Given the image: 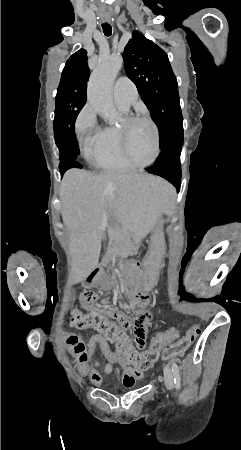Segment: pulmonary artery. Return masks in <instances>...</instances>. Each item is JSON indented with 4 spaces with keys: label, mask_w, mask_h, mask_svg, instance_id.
I'll return each instance as SVG.
<instances>
[{
    "label": "pulmonary artery",
    "mask_w": 241,
    "mask_h": 450,
    "mask_svg": "<svg viewBox=\"0 0 241 450\" xmlns=\"http://www.w3.org/2000/svg\"><path fill=\"white\" fill-rule=\"evenodd\" d=\"M135 94V88H132V83L128 78L122 77L116 81L113 89V97L116 103L129 107Z\"/></svg>",
    "instance_id": "e3ab8cb5"
}]
</instances>
